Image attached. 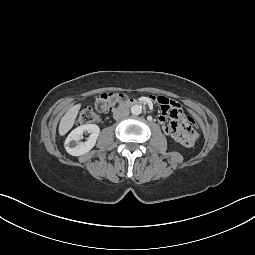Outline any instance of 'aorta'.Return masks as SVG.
<instances>
[{
    "mask_svg": "<svg viewBox=\"0 0 255 255\" xmlns=\"http://www.w3.org/2000/svg\"><path fill=\"white\" fill-rule=\"evenodd\" d=\"M142 112V107L138 104H135L131 107V113L133 115H139Z\"/></svg>",
    "mask_w": 255,
    "mask_h": 255,
    "instance_id": "obj_1",
    "label": "aorta"
}]
</instances>
